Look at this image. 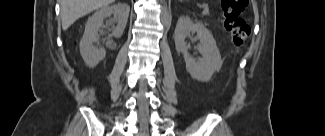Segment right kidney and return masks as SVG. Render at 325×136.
Here are the masks:
<instances>
[{"instance_id": "ca27d5eb", "label": "right kidney", "mask_w": 325, "mask_h": 136, "mask_svg": "<svg viewBox=\"0 0 325 136\" xmlns=\"http://www.w3.org/2000/svg\"><path fill=\"white\" fill-rule=\"evenodd\" d=\"M129 11L130 8L127 4L118 3L102 7L88 19L79 45L81 56L88 67H95L106 55L103 47L94 46V42L98 40V31L103 26L104 19L113 15L107 24L112 26L111 35L120 38L126 27Z\"/></svg>"}]
</instances>
